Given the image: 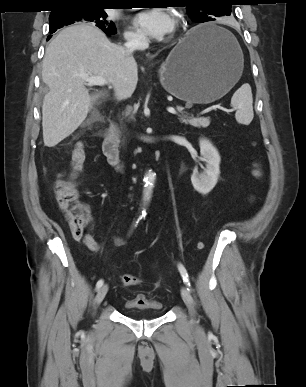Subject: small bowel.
I'll return each mask as SVG.
<instances>
[{"label": "small bowel", "mask_w": 306, "mask_h": 387, "mask_svg": "<svg viewBox=\"0 0 306 387\" xmlns=\"http://www.w3.org/2000/svg\"><path fill=\"white\" fill-rule=\"evenodd\" d=\"M63 176V173H59L57 175V177H61ZM83 242L85 244V246L90 250V251H97L98 250V244L97 242L95 241L93 235L91 233H87L85 236H84V239H83ZM115 242L117 245H122L123 244V241L122 239L120 238H116L115 239ZM141 301V300H139Z\"/></svg>", "instance_id": "c3829d8e"}]
</instances>
